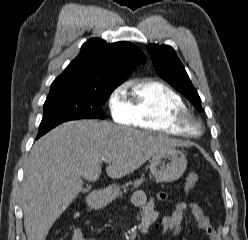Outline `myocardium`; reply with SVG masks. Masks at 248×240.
Wrapping results in <instances>:
<instances>
[{"label": "myocardium", "mask_w": 248, "mask_h": 240, "mask_svg": "<svg viewBox=\"0 0 248 240\" xmlns=\"http://www.w3.org/2000/svg\"><path fill=\"white\" fill-rule=\"evenodd\" d=\"M170 122L189 136H197L202 131L201 121L188 109L175 111L170 116Z\"/></svg>", "instance_id": "obj_1"}]
</instances>
